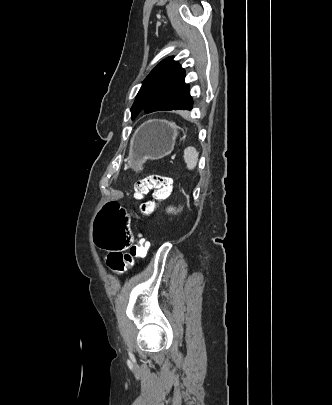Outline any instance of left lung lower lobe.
I'll return each mask as SVG.
<instances>
[{
    "label": "left lung lower lobe",
    "mask_w": 332,
    "mask_h": 405,
    "mask_svg": "<svg viewBox=\"0 0 332 405\" xmlns=\"http://www.w3.org/2000/svg\"><path fill=\"white\" fill-rule=\"evenodd\" d=\"M144 111H145V113H146V114L151 113V112H154V111H152V110H151V108H150V107L145 108V110H144ZM159 111H160V110H159Z\"/></svg>",
    "instance_id": "1"
}]
</instances>
